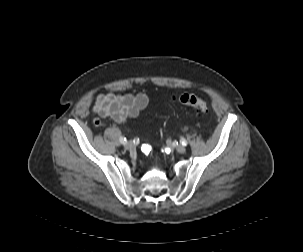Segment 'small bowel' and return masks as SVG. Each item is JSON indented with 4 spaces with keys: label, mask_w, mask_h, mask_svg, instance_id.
I'll return each instance as SVG.
<instances>
[{
    "label": "small bowel",
    "mask_w": 303,
    "mask_h": 252,
    "mask_svg": "<svg viewBox=\"0 0 303 252\" xmlns=\"http://www.w3.org/2000/svg\"><path fill=\"white\" fill-rule=\"evenodd\" d=\"M150 101V96L142 92L137 94L108 92L97 97L94 110L101 117H109L124 123L129 119L139 117L140 113L148 107Z\"/></svg>",
    "instance_id": "c3829d8e"
}]
</instances>
